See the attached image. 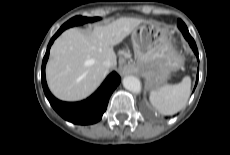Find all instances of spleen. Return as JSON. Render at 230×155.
I'll return each instance as SVG.
<instances>
[{"label":"spleen","mask_w":230,"mask_h":155,"mask_svg":"<svg viewBox=\"0 0 230 155\" xmlns=\"http://www.w3.org/2000/svg\"><path fill=\"white\" fill-rule=\"evenodd\" d=\"M191 92V79L185 76L180 83L164 84L150 94L151 104L163 115H173L187 103Z\"/></svg>","instance_id":"3e777b00"}]
</instances>
